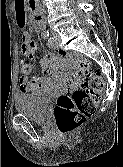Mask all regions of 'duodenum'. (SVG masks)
Returning <instances> with one entry per match:
<instances>
[{
	"mask_svg": "<svg viewBox=\"0 0 123 167\" xmlns=\"http://www.w3.org/2000/svg\"><path fill=\"white\" fill-rule=\"evenodd\" d=\"M29 7L33 12L37 22L38 28L43 29L44 27V14L39 10L37 0H29Z\"/></svg>",
	"mask_w": 123,
	"mask_h": 167,
	"instance_id": "410a0bca",
	"label": "duodenum"
}]
</instances>
